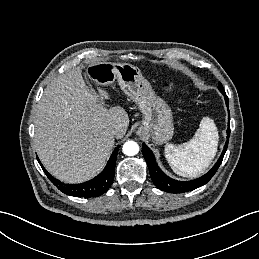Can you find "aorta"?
Here are the masks:
<instances>
[{"instance_id":"762f6f07","label":"aorta","mask_w":259,"mask_h":259,"mask_svg":"<svg viewBox=\"0 0 259 259\" xmlns=\"http://www.w3.org/2000/svg\"><path fill=\"white\" fill-rule=\"evenodd\" d=\"M123 153L127 156H134L139 152V146L134 141H128L123 145Z\"/></svg>"}]
</instances>
